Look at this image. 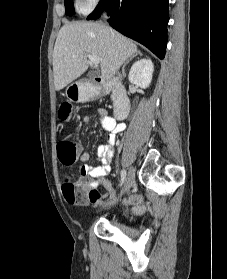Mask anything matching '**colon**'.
<instances>
[{"instance_id":"obj_1","label":"colon","mask_w":227,"mask_h":279,"mask_svg":"<svg viewBox=\"0 0 227 279\" xmlns=\"http://www.w3.org/2000/svg\"><path fill=\"white\" fill-rule=\"evenodd\" d=\"M72 114L71 106L67 103L63 104L58 112V119L61 123L67 122ZM57 156L63 166H71L75 163L80 149L78 145L70 139L68 136H63L58 140L57 144ZM75 183L67 181L64 185L65 190L75 191ZM99 193L96 190H92L88 194L89 200L97 198ZM78 201L82 199H77Z\"/></svg>"}]
</instances>
